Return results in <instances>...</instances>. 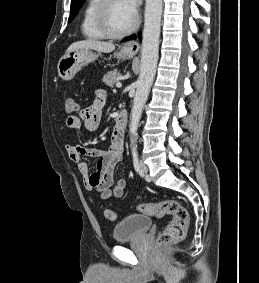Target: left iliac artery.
Returning <instances> with one entry per match:
<instances>
[{"instance_id": "1", "label": "left iliac artery", "mask_w": 259, "mask_h": 283, "mask_svg": "<svg viewBox=\"0 0 259 283\" xmlns=\"http://www.w3.org/2000/svg\"><path fill=\"white\" fill-rule=\"evenodd\" d=\"M132 156H133V165L137 172H140V165H139V159H138V153H137V147L132 148Z\"/></svg>"}]
</instances>
